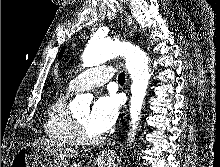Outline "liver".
Segmentation results:
<instances>
[{
  "instance_id": "obj_1",
  "label": "liver",
  "mask_w": 220,
  "mask_h": 167,
  "mask_svg": "<svg viewBox=\"0 0 220 167\" xmlns=\"http://www.w3.org/2000/svg\"><path fill=\"white\" fill-rule=\"evenodd\" d=\"M33 146L39 147L55 160H70L78 156L79 151L71 147L56 145L53 140L39 138L34 141Z\"/></svg>"
}]
</instances>
